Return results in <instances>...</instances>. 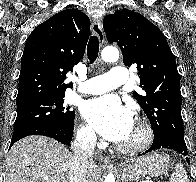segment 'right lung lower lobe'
I'll list each match as a JSON object with an SVG mask.
<instances>
[{
    "label": "right lung lower lobe",
    "instance_id": "right-lung-lower-lobe-1",
    "mask_svg": "<svg viewBox=\"0 0 196 182\" xmlns=\"http://www.w3.org/2000/svg\"><path fill=\"white\" fill-rule=\"evenodd\" d=\"M73 129H68L52 123H35L14 129L10 147L19 139L29 135H44L58 140L63 144L72 141Z\"/></svg>",
    "mask_w": 196,
    "mask_h": 182
}]
</instances>
